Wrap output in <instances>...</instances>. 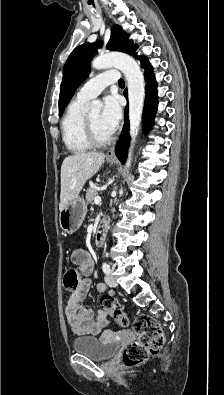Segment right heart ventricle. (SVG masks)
Here are the masks:
<instances>
[{"label": "right heart ventricle", "mask_w": 224, "mask_h": 395, "mask_svg": "<svg viewBox=\"0 0 224 395\" xmlns=\"http://www.w3.org/2000/svg\"><path fill=\"white\" fill-rule=\"evenodd\" d=\"M86 100L78 97L73 99L67 107L62 120V136L67 149L80 154L91 148L84 130V107Z\"/></svg>", "instance_id": "right-heart-ventricle-1"}]
</instances>
